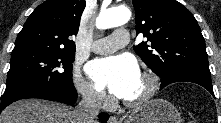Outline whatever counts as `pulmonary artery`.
<instances>
[{
	"label": "pulmonary artery",
	"instance_id": "obj_1",
	"mask_svg": "<svg viewBox=\"0 0 221 123\" xmlns=\"http://www.w3.org/2000/svg\"><path fill=\"white\" fill-rule=\"evenodd\" d=\"M129 36L125 29H117L110 36L97 39L92 44V51L99 54H107L125 46Z\"/></svg>",
	"mask_w": 221,
	"mask_h": 123
}]
</instances>
